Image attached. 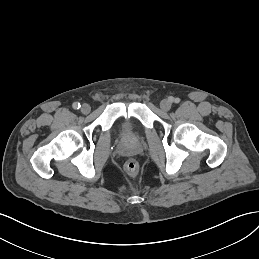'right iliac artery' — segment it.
Wrapping results in <instances>:
<instances>
[{"mask_svg": "<svg viewBox=\"0 0 259 259\" xmlns=\"http://www.w3.org/2000/svg\"><path fill=\"white\" fill-rule=\"evenodd\" d=\"M81 107L80 103L79 102H74L73 103V108L74 109H79Z\"/></svg>", "mask_w": 259, "mask_h": 259, "instance_id": "right-iliac-artery-1", "label": "right iliac artery"}]
</instances>
